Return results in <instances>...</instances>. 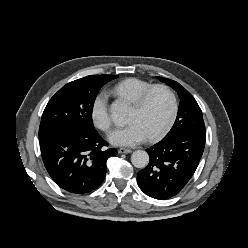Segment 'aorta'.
<instances>
[{
	"mask_svg": "<svg viewBox=\"0 0 248 248\" xmlns=\"http://www.w3.org/2000/svg\"><path fill=\"white\" fill-rule=\"evenodd\" d=\"M128 114V106L122 101H115L111 105L112 118L121 122ZM131 162L136 168H145L149 163V155L144 150H137L131 155Z\"/></svg>",
	"mask_w": 248,
	"mask_h": 248,
	"instance_id": "obj_1",
	"label": "aorta"
}]
</instances>
